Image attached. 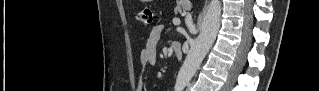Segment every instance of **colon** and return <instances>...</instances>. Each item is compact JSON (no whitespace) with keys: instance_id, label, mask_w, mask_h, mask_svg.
Wrapping results in <instances>:
<instances>
[{"instance_id":"5ec220e1","label":"colon","mask_w":319,"mask_h":91,"mask_svg":"<svg viewBox=\"0 0 319 91\" xmlns=\"http://www.w3.org/2000/svg\"><path fill=\"white\" fill-rule=\"evenodd\" d=\"M138 19L145 25H152L154 23L153 11L149 7L142 8L138 12Z\"/></svg>"}]
</instances>
